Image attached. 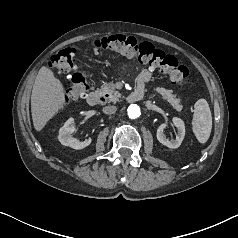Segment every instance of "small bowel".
Returning <instances> with one entry per match:
<instances>
[{"instance_id": "small-bowel-1", "label": "small bowel", "mask_w": 238, "mask_h": 238, "mask_svg": "<svg viewBox=\"0 0 238 238\" xmlns=\"http://www.w3.org/2000/svg\"><path fill=\"white\" fill-rule=\"evenodd\" d=\"M153 77V69L151 67L143 69L137 77V86L144 88V85L151 81Z\"/></svg>"}]
</instances>
